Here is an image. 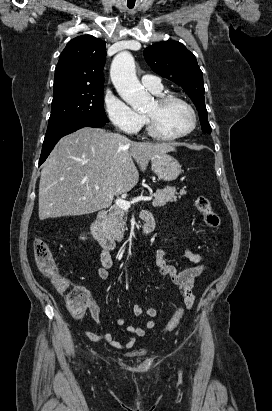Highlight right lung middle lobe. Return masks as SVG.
Segmentation results:
<instances>
[{
  "label": "right lung middle lobe",
  "instance_id": "1",
  "mask_svg": "<svg viewBox=\"0 0 272 411\" xmlns=\"http://www.w3.org/2000/svg\"><path fill=\"white\" fill-rule=\"evenodd\" d=\"M104 86L70 88L53 93L51 115L46 133L78 120L108 122L103 106Z\"/></svg>",
  "mask_w": 272,
  "mask_h": 411
}]
</instances>
